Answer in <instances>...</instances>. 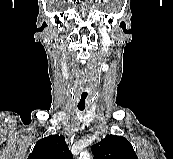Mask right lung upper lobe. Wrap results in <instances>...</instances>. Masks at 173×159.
I'll return each instance as SVG.
<instances>
[{
  "label": "right lung upper lobe",
  "mask_w": 173,
  "mask_h": 159,
  "mask_svg": "<svg viewBox=\"0 0 173 159\" xmlns=\"http://www.w3.org/2000/svg\"><path fill=\"white\" fill-rule=\"evenodd\" d=\"M64 136L50 135L39 140L28 159H72Z\"/></svg>",
  "instance_id": "1"
}]
</instances>
